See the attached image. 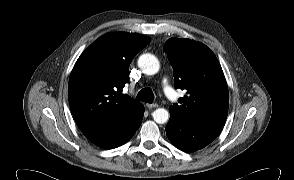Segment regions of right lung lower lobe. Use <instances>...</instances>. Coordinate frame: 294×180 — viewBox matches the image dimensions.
<instances>
[{
	"instance_id": "1",
	"label": "right lung lower lobe",
	"mask_w": 294,
	"mask_h": 180,
	"mask_svg": "<svg viewBox=\"0 0 294 180\" xmlns=\"http://www.w3.org/2000/svg\"><path fill=\"white\" fill-rule=\"evenodd\" d=\"M144 113L138 102L121 118L108 126L82 129L83 134L95 145L102 148H115L125 144L140 127Z\"/></svg>"
}]
</instances>
